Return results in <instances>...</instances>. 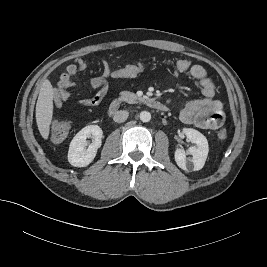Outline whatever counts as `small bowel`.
I'll list each match as a JSON object with an SVG mask.
<instances>
[{
    "label": "small bowel",
    "instance_id": "small-bowel-1",
    "mask_svg": "<svg viewBox=\"0 0 267 267\" xmlns=\"http://www.w3.org/2000/svg\"><path fill=\"white\" fill-rule=\"evenodd\" d=\"M102 67V74L90 80L91 94L79 100L82 106L95 107L107 95L111 69L106 60L102 61ZM86 68L87 64L82 58L75 59L66 67L54 91V105L56 107L62 106L70 99L77 75L85 71ZM189 73L200 85L203 98L187 102L179 111L180 120L185 124H193L201 129H218L224 123L225 115L221 102L214 98L216 92L214 82L208 77L205 68L201 65H192Z\"/></svg>",
    "mask_w": 267,
    "mask_h": 267
}]
</instances>
